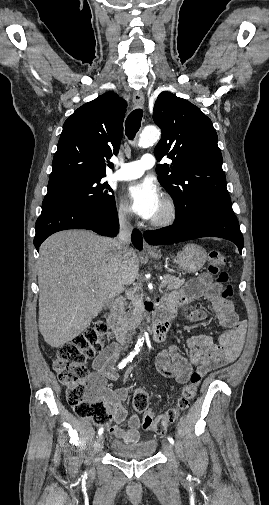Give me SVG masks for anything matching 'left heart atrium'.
Masks as SVG:
<instances>
[{"label":"left heart atrium","mask_w":269,"mask_h":505,"mask_svg":"<svg viewBox=\"0 0 269 505\" xmlns=\"http://www.w3.org/2000/svg\"><path fill=\"white\" fill-rule=\"evenodd\" d=\"M130 210L143 219L153 218L162 203L161 193L151 180L132 183L126 191Z\"/></svg>","instance_id":"39dd6f15"}]
</instances>
